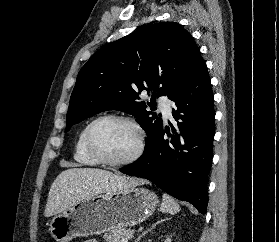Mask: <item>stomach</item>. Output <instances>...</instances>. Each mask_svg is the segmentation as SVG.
<instances>
[{
  "label": "stomach",
  "mask_w": 279,
  "mask_h": 242,
  "mask_svg": "<svg viewBox=\"0 0 279 242\" xmlns=\"http://www.w3.org/2000/svg\"><path fill=\"white\" fill-rule=\"evenodd\" d=\"M158 202L155 193L136 186L97 194L55 215L49 232L56 242H70L76 237L134 226L151 216Z\"/></svg>",
  "instance_id": "0dacf381"
}]
</instances>
